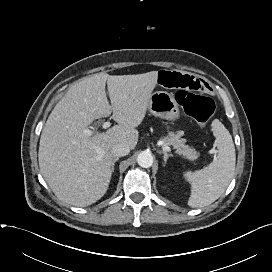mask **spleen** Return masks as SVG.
Returning a JSON list of instances; mask_svg holds the SVG:
<instances>
[{
    "instance_id": "3e777b00",
    "label": "spleen",
    "mask_w": 272,
    "mask_h": 272,
    "mask_svg": "<svg viewBox=\"0 0 272 272\" xmlns=\"http://www.w3.org/2000/svg\"><path fill=\"white\" fill-rule=\"evenodd\" d=\"M211 127L216 138L217 157L208 167L183 174L191 185L188 205L192 208H202L216 201L234 176L236 154L232 136L218 119L212 121Z\"/></svg>"
}]
</instances>
